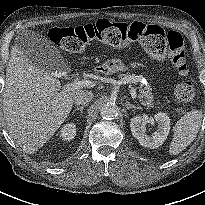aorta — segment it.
<instances>
[{"instance_id": "762f6f07", "label": "aorta", "mask_w": 205, "mask_h": 205, "mask_svg": "<svg viewBox=\"0 0 205 205\" xmlns=\"http://www.w3.org/2000/svg\"><path fill=\"white\" fill-rule=\"evenodd\" d=\"M100 115L105 120H112L117 116V109L114 104L107 103L101 107Z\"/></svg>"}]
</instances>
